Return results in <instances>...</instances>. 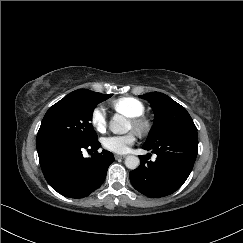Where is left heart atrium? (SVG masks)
Listing matches in <instances>:
<instances>
[{"label": "left heart atrium", "instance_id": "39dd6f15", "mask_svg": "<svg viewBox=\"0 0 243 243\" xmlns=\"http://www.w3.org/2000/svg\"><path fill=\"white\" fill-rule=\"evenodd\" d=\"M135 143V135L128 133L126 135H110L103 140L106 149L116 152L125 153Z\"/></svg>", "mask_w": 243, "mask_h": 243}]
</instances>
